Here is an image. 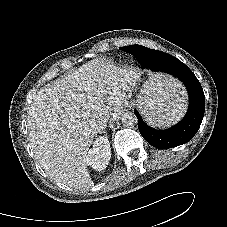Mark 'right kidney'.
Here are the masks:
<instances>
[{
	"label": "right kidney",
	"instance_id": "obj_1",
	"mask_svg": "<svg viewBox=\"0 0 227 227\" xmlns=\"http://www.w3.org/2000/svg\"><path fill=\"white\" fill-rule=\"evenodd\" d=\"M111 158L110 143L106 136L96 138L88 151L86 164L97 171L105 169Z\"/></svg>",
	"mask_w": 227,
	"mask_h": 227
}]
</instances>
